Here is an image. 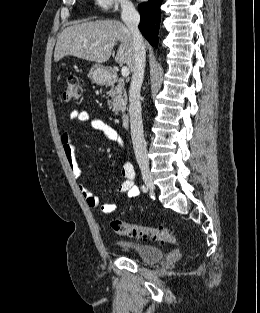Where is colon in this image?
Here are the masks:
<instances>
[{"label": "colon", "mask_w": 260, "mask_h": 313, "mask_svg": "<svg viewBox=\"0 0 260 313\" xmlns=\"http://www.w3.org/2000/svg\"><path fill=\"white\" fill-rule=\"evenodd\" d=\"M82 96V89L78 77H69L63 91L65 101H77ZM110 226L113 231L121 236L137 238L140 240H152L162 243H175V234L165 227L140 226L119 219H112Z\"/></svg>", "instance_id": "1"}]
</instances>
